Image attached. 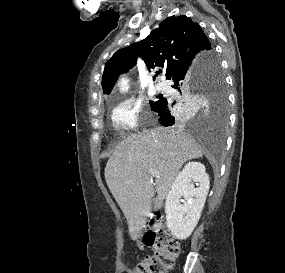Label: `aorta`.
Returning <instances> with one entry per match:
<instances>
[{
	"label": "aorta",
	"mask_w": 285,
	"mask_h": 273,
	"mask_svg": "<svg viewBox=\"0 0 285 273\" xmlns=\"http://www.w3.org/2000/svg\"><path fill=\"white\" fill-rule=\"evenodd\" d=\"M128 89V80L127 79H122L121 81V90L125 91Z\"/></svg>",
	"instance_id": "1"
}]
</instances>
